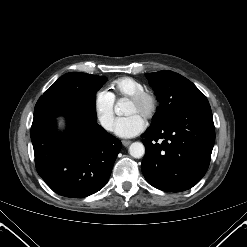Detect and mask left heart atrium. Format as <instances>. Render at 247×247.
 I'll use <instances>...</instances> for the list:
<instances>
[{
  "mask_svg": "<svg viewBox=\"0 0 247 247\" xmlns=\"http://www.w3.org/2000/svg\"><path fill=\"white\" fill-rule=\"evenodd\" d=\"M145 127L144 117L138 113H133L116 120L115 134L122 138H131L141 133Z\"/></svg>",
  "mask_w": 247,
  "mask_h": 247,
  "instance_id": "1",
  "label": "left heart atrium"
}]
</instances>
